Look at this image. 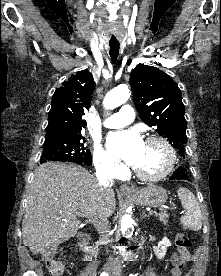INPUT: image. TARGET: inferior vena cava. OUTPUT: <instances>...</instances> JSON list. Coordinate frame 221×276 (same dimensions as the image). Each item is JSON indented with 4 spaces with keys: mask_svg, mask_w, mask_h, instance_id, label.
Returning <instances> with one entry per match:
<instances>
[{
    "mask_svg": "<svg viewBox=\"0 0 221 276\" xmlns=\"http://www.w3.org/2000/svg\"><path fill=\"white\" fill-rule=\"evenodd\" d=\"M96 177L101 186L108 187L110 182V176L107 170H97ZM91 222L94 224L100 235V243L108 244L110 242L109 232H110V223L107 219V216L102 212H96L91 218Z\"/></svg>",
    "mask_w": 221,
    "mask_h": 276,
    "instance_id": "1",
    "label": "inferior vena cava"
}]
</instances>
